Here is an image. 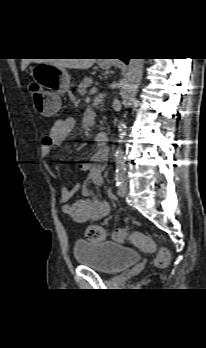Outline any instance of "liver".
Listing matches in <instances>:
<instances>
[{
  "mask_svg": "<svg viewBox=\"0 0 206 348\" xmlns=\"http://www.w3.org/2000/svg\"><path fill=\"white\" fill-rule=\"evenodd\" d=\"M32 59H23L21 63V70L24 71L26 67L31 63ZM96 59H52L50 61H40L46 62L48 64L54 65L60 68H70V69H89L93 66Z\"/></svg>",
  "mask_w": 206,
  "mask_h": 348,
  "instance_id": "6515ba94",
  "label": "liver"
}]
</instances>
